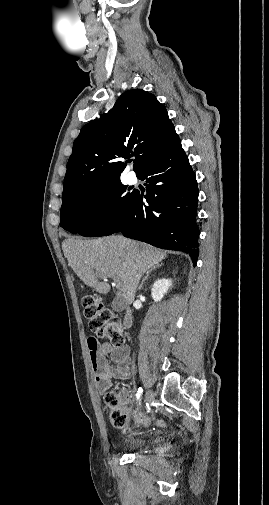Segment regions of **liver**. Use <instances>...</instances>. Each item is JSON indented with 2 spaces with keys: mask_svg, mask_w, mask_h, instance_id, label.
<instances>
[{
  "mask_svg": "<svg viewBox=\"0 0 269 505\" xmlns=\"http://www.w3.org/2000/svg\"><path fill=\"white\" fill-rule=\"evenodd\" d=\"M62 249L69 266L87 286L107 294L110 285L97 277L112 278L120 285L125 304L133 303L142 275L167 256L160 249L121 235L93 240L68 238Z\"/></svg>",
  "mask_w": 269,
  "mask_h": 505,
  "instance_id": "liver-1",
  "label": "liver"
}]
</instances>
